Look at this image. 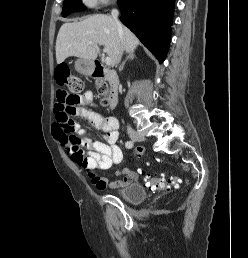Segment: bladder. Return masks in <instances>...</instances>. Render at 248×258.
<instances>
[{"mask_svg": "<svg viewBox=\"0 0 248 258\" xmlns=\"http://www.w3.org/2000/svg\"><path fill=\"white\" fill-rule=\"evenodd\" d=\"M119 195L131 204H138L147 198V191L143 185L131 183L123 187Z\"/></svg>", "mask_w": 248, "mask_h": 258, "instance_id": "31cf9c89", "label": "bladder"}]
</instances>
